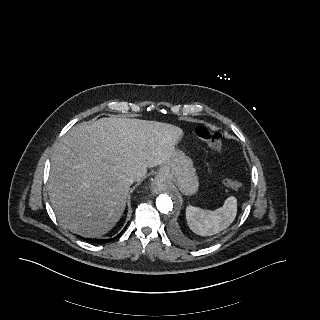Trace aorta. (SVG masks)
<instances>
[{"instance_id":"762f6f07","label":"aorta","mask_w":320,"mask_h":320,"mask_svg":"<svg viewBox=\"0 0 320 320\" xmlns=\"http://www.w3.org/2000/svg\"><path fill=\"white\" fill-rule=\"evenodd\" d=\"M155 204L159 214H169L174 210V198L170 193L160 194Z\"/></svg>"}]
</instances>
